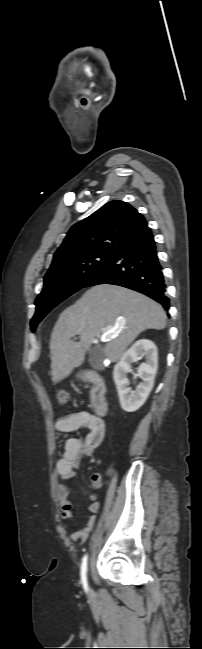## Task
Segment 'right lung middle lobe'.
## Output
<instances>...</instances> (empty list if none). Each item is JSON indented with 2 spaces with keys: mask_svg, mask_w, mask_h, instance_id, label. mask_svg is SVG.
Wrapping results in <instances>:
<instances>
[{
  "mask_svg": "<svg viewBox=\"0 0 202 649\" xmlns=\"http://www.w3.org/2000/svg\"><path fill=\"white\" fill-rule=\"evenodd\" d=\"M114 252L90 251L68 258L48 270L44 287L35 301L31 330L60 302L84 285L113 258Z\"/></svg>",
  "mask_w": 202,
  "mask_h": 649,
  "instance_id": "right-lung-middle-lobe-1",
  "label": "right lung middle lobe"
}]
</instances>
